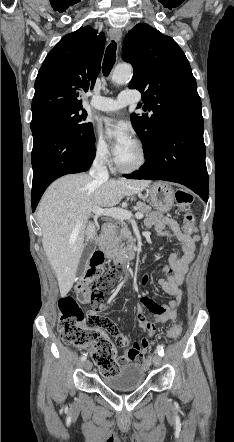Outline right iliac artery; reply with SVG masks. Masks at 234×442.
<instances>
[{
    "label": "right iliac artery",
    "mask_w": 234,
    "mask_h": 442,
    "mask_svg": "<svg viewBox=\"0 0 234 442\" xmlns=\"http://www.w3.org/2000/svg\"><path fill=\"white\" fill-rule=\"evenodd\" d=\"M86 360V354L81 356V361H85Z\"/></svg>",
    "instance_id": "obj_1"
}]
</instances>
